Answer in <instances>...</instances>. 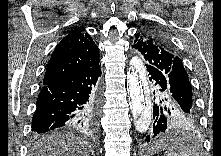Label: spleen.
Returning a JSON list of instances; mask_svg holds the SVG:
<instances>
[{
	"instance_id": "3e777b00",
	"label": "spleen",
	"mask_w": 221,
	"mask_h": 156,
	"mask_svg": "<svg viewBox=\"0 0 221 156\" xmlns=\"http://www.w3.org/2000/svg\"><path fill=\"white\" fill-rule=\"evenodd\" d=\"M164 156H198L197 152L188 147H179L165 152Z\"/></svg>"
}]
</instances>
